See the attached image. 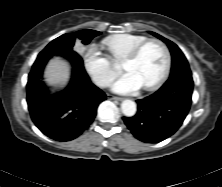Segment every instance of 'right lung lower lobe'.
Listing matches in <instances>:
<instances>
[{"label": "right lung lower lobe", "instance_id": "right-lung-lower-lobe-1", "mask_svg": "<svg viewBox=\"0 0 222 187\" xmlns=\"http://www.w3.org/2000/svg\"><path fill=\"white\" fill-rule=\"evenodd\" d=\"M54 54L71 60L72 79L62 92L47 95V87L40 79L45 64ZM105 99V93L90 81L76 52L45 48L38 55L28 78L27 103L32 121L46 136L57 141L78 137L93 122L98 105Z\"/></svg>", "mask_w": 222, "mask_h": 187}]
</instances>
